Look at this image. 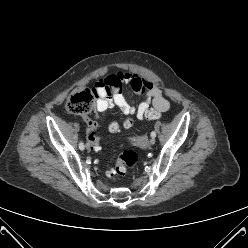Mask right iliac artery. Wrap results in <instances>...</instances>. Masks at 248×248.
<instances>
[{
  "label": "right iliac artery",
  "mask_w": 248,
  "mask_h": 248,
  "mask_svg": "<svg viewBox=\"0 0 248 248\" xmlns=\"http://www.w3.org/2000/svg\"><path fill=\"white\" fill-rule=\"evenodd\" d=\"M79 149H80V150H84V143H83V142H80V143H79Z\"/></svg>",
  "instance_id": "82829eb1"
}]
</instances>
